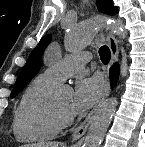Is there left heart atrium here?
Here are the masks:
<instances>
[{
	"label": "left heart atrium",
	"mask_w": 145,
	"mask_h": 147,
	"mask_svg": "<svg viewBox=\"0 0 145 147\" xmlns=\"http://www.w3.org/2000/svg\"><path fill=\"white\" fill-rule=\"evenodd\" d=\"M102 89L103 82L99 76L80 78L75 86L70 112L74 115L85 112L100 97Z\"/></svg>",
	"instance_id": "obj_1"
}]
</instances>
